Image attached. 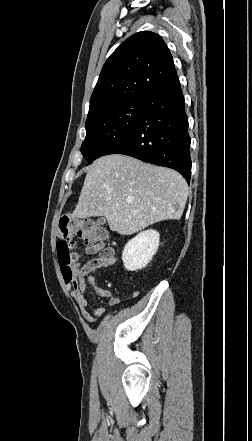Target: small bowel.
<instances>
[{"label": "small bowel", "mask_w": 252, "mask_h": 441, "mask_svg": "<svg viewBox=\"0 0 252 441\" xmlns=\"http://www.w3.org/2000/svg\"><path fill=\"white\" fill-rule=\"evenodd\" d=\"M74 247H77L76 243H74ZM87 254L95 255V257L82 266L75 280L70 282L66 281V283L72 289V296L76 300L82 316L88 323L93 324L97 320L96 317L103 316L106 310L101 306H91L92 300L86 292L87 284L90 285L100 297L107 299L110 305L116 306L119 300L111 291L99 286L94 275L97 270L110 267L114 264L113 250L109 247H104L99 252H90L87 250ZM77 258L78 255H76V259Z\"/></svg>", "instance_id": "small-bowel-1"}]
</instances>
